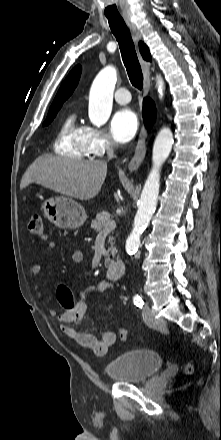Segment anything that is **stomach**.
<instances>
[{
    "label": "stomach",
    "instance_id": "0dacf381",
    "mask_svg": "<svg viewBox=\"0 0 221 440\" xmlns=\"http://www.w3.org/2000/svg\"><path fill=\"white\" fill-rule=\"evenodd\" d=\"M42 209L45 217L59 228H79L87 218L84 207L70 197H51L43 203Z\"/></svg>",
    "mask_w": 221,
    "mask_h": 440
}]
</instances>
